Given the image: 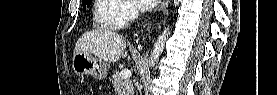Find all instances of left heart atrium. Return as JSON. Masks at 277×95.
I'll use <instances>...</instances> for the list:
<instances>
[{"mask_svg": "<svg viewBox=\"0 0 277 95\" xmlns=\"http://www.w3.org/2000/svg\"><path fill=\"white\" fill-rule=\"evenodd\" d=\"M138 6L142 9H151L153 8L157 1L156 0H135Z\"/></svg>", "mask_w": 277, "mask_h": 95, "instance_id": "obj_1", "label": "left heart atrium"}]
</instances>
